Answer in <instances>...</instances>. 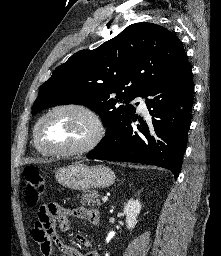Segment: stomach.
I'll return each instance as SVG.
<instances>
[{"mask_svg": "<svg viewBox=\"0 0 221 256\" xmlns=\"http://www.w3.org/2000/svg\"><path fill=\"white\" fill-rule=\"evenodd\" d=\"M55 177L59 184L82 191L106 188L115 181V174L109 167L104 165L89 167L80 162L59 168L55 172Z\"/></svg>", "mask_w": 221, "mask_h": 256, "instance_id": "stomach-1", "label": "stomach"}]
</instances>
